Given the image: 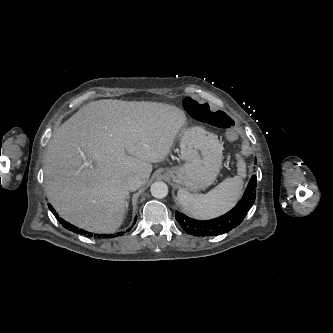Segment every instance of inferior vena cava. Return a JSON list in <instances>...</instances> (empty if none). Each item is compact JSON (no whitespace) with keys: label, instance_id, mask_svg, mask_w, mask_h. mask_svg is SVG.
Here are the masks:
<instances>
[{"label":"inferior vena cava","instance_id":"obj_1","mask_svg":"<svg viewBox=\"0 0 333 333\" xmlns=\"http://www.w3.org/2000/svg\"><path fill=\"white\" fill-rule=\"evenodd\" d=\"M142 184V180L136 176L128 177L125 182L128 191H136L142 186Z\"/></svg>","mask_w":333,"mask_h":333}]
</instances>
